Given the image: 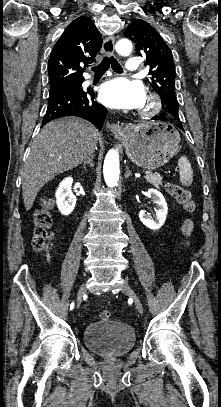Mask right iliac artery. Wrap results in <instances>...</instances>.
<instances>
[{"label":"right iliac artery","instance_id":"82829eb1","mask_svg":"<svg viewBox=\"0 0 221 407\" xmlns=\"http://www.w3.org/2000/svg\"><path fill=\"white\" fill-rule=\"evenodd\" d=\"M74 307V303H71L70 309L72 310Z\"/></svg>","mask_w":221,"mask_h":407}]
</instances>
